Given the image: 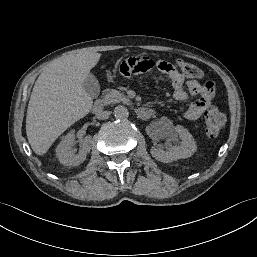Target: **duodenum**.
I'll return each mask as SVG.
<instances>
[{"mask_svg":"<svg viewBox=\"0 0 257 257\" xmlns=\"http://www.w3.org/2000/svg\"><path fill=\"white\" fill-rule=\"evenodd\" d=\"M104 110V103L101 99H96L92 105V111L95 114H100ZM139 118L147 119L153 115V110L147 107H140L136 110Z\"/></svg>","mask_w":257,"mask_h":257,"instance_id":"1","label":"duodenum"}]
</instances>
